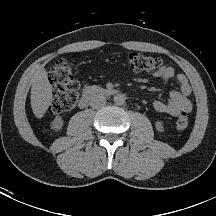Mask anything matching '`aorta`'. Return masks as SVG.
<instances>
[{"instance_id": "aorta-1", "label": "aorta", "mask_w": 216, "mask_h": 216, "mask_svg": "<svg viewBox=\"0 0 216 216\" xmlns=\"http://www.w3.org/2000/svg\"><path fill=\"white\" fill-rule=\"evenodd\" d=\"M126 96L122 93H118L114 96V102L117 105H123L125 103Z\"/></svg>"}]
</instances>
